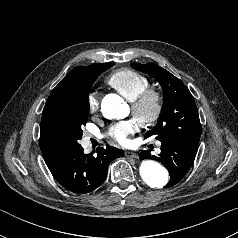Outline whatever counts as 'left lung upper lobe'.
I'll use <instances>...</instances> for the list:
<instances>
[{"instance_id": "5c2ea615", "label": "left lung upper lobe", "mask_w": 238, "mask_h": 238, "mask_svg": "<svg viewBox=\"0 0 238 238\" xmlns=\"http://www.w3.org/2000/svg\"><path fill=\"white\" fill-rule=\"evenodd\" d=\"M131 66L154 77L163 89V106L156 126L145 138L156 136L163 141L172 138L200 139L202 126L193 96L181 80L153 63Z\"/></svg>"}]
</instances>
